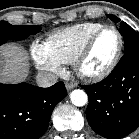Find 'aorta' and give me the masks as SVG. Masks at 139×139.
Wrapping results in <instances>:
<instances>
[{"instance_id": "obj_1", "label": "aorta", "mask_w": 139, "mask_h": 139, "mask_svg": "<svg viewBox=\"0 0 139 139\" xmlns=\"http://www.w3.org/2000/svg\"><path fill=\"white\" fill-rule=\"evenodd\" d=\"M70 99L72 104L75 106L81 107L84 106L88 102L87 94L80 89H75L70 93Z\"/></svg>"}]
</instances>
